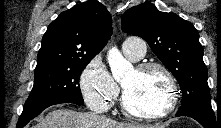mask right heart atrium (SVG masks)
<instances>
[{
	"label": "right heart atrium",
	"mask_w": 221,
	"mask_h": 128,
	"mask_svg": "<svg viewBox=\"0 0 221 128\" xmlns=\"http://www.w3.org/2000/svg\"><path fill=\"white\" fill-rule=\"evenodd\" d=\"M80 88L87 105L100 112L116 97L118 87L104 59L92 57L80 77Z\"/></svg>",
	"instance_id": "1"
}]
</instances>
